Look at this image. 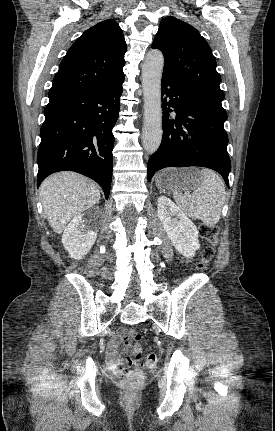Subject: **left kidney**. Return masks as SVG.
Wrapping results in <instances>:
<instances>
[{
    "mask_svg": "<svg viewBox=\"0 0 275 431\" xmlns=\"http://www.w3.org/2000/svg\"><path fill=\"white\" fill-rule=\"evenodd\" d=\"M157 211L163 228L176 250L186 258L193 257L200 248L198 230L193 222L165 196L158 198Z\"/></svg>",
    "mask_w": 275,
    "mask_h": 431,
    "instance_id": "5707ae66",
    "label": "left kidney"
}]
</instances>
